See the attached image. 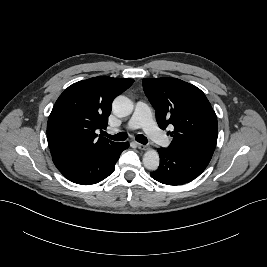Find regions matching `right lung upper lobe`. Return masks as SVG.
I'll use <instances>...</instances> for the list:
<instances>
[{"label":"right lung upper lobe","instance_id":"right-lung-upper-lobe-1","mask_svg":"<svg viewBox=\"0 0 267 267\" xmlns=\"http://www.w3.org/2000/svg\"><path fill=\"white\" fill-rule=\"evenodd\" d=\"M133 79L93 77L69 86L57 99L47 123V140L53 158L89 155L118 144L96 130L105 129L113 99Z\"/></svg>","mask_w":267,"mask_h":267}]
</instances>
